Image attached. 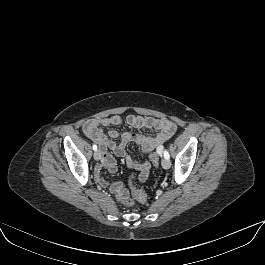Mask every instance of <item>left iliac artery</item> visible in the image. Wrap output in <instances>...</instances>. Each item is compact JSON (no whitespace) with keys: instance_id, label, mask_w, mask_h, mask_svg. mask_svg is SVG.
Returning <instances> with one entry per match:
<instances>
[{"instance_id":"1","label":"left iliac artery","mask_w":265,"mask_h":265,"mask_svg":"<svg viewBox=\"0 0 265 265\" xmlns=\"http://www.w3.org/2000/svg\"><path fill=\"white\" fill-rule=\"evenodd\" d=\"M164 158H166V159L170 158V155L166 150L164 151Z\"/></svg>"}]
</instances>
